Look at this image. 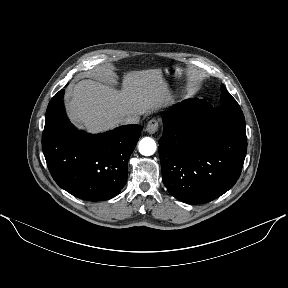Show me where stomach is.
Instances as JSON below:
<instances>
[{
	"label": "stomach",
	"mask_w": 288,
	"mask_h": 288,
	"mask_svg": "<svg viewBox=\"0 0 288 288\" xmlns=\"http://www.w3.org/2000/svg\"><path fill=\"white\" fill-rule=\"evenodd\" d=\"M166 73L168 75H171L175 78H179L181 77L182 73H183V69L179 66L176 65H172L166 68Z\"/></svg>",
	"instance_id": "0dacf381"
}]
</instances>
